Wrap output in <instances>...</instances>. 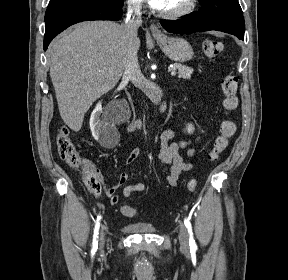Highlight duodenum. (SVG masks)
Here are the masks:
<instances>
[{
  "label": "duodenum",
  "mask_w": 288,
  "mask_h": 280,
  "mask_svg": "<svg viewBox=\"0 0 288 280\" xmlns=\"http://www.w3.org/2000/svg\"><path fill=\"white\" fill-rule=\"evenodd\" d=\"M165 109H166L165 103L160 104V106L158 107V111H159L160 113L164 112ZM141 126H142V121H141V120H136V121L132 122V123L129 125L128 128H129L130 130H133V129H135V128H141Z\"/></svg>",
  "instance_id": "1"
}]
</instances>
